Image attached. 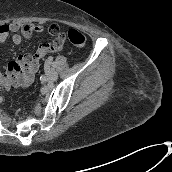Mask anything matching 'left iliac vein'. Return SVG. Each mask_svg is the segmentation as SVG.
I'll return each instance as SVG.
<instances>
[{
  "label": "left iliac vein",
  "mask_w": 172,
  "mask_h": 172,
  "mask_svg": "<svg viewBox=\"0 0 172 172\" xmlns=\"http://www.w3.org/2000/svg\"><path fill=\"white\" fill-rule=\"evenodd\" d=\"M46 69H47L46 75H47L48 81H50V82L56 81L58 78L57 72L53 69H50L48 65H46Z\"/></svg>",
  "instance_id": "1"
}]
</instances>
